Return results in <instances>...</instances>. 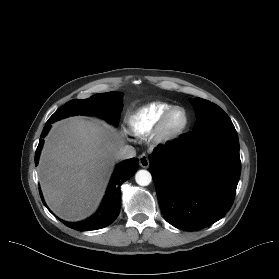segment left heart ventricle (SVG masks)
Masks as SVG:
<instances>
[{
  "instance_id": "1",
  "label": "left heart ventricle",
  "mask_w": 279,
  "mask_h": 279,
  "mask_svg": "<svg viewBox=\"0 0 279 279\" xmlns=\"http://www.w3.org/2000/svg\"><path fill=\"white\" fill-rule=\"evenodd\" d=\"M184 115L181 111H175L168 119V130L176 131L183 124Z\"/></svg>"
}]
</instances>
